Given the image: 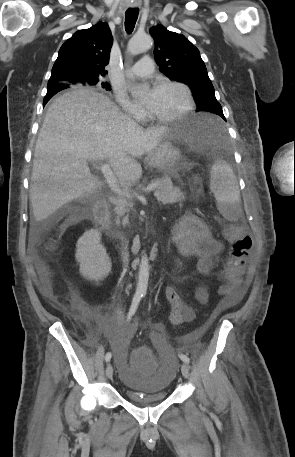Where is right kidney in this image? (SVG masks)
Here are the masks:
<instances>
[{
	"instance_id": "ca27d5eb",
	"label": "right kidney",
	"mask_w": 295,
	"mask_h": 457,
	"mask_svg": "<svg viewBox=\"0 0 295 457\" xmlns=\"http://www.w3.org/2000/svg\"><path fill=\"white\" fill-rule=\"evenodd\" d=\"M76 247V260L80 263V272L85 278L98 282L110 273L111 261L101 245V235L97 229L86 231Z\"/></svg>"
}]
</instances>
